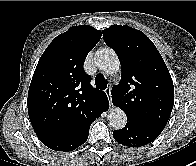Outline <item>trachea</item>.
I'll return each mask as SVG.
<instances>
[{"label":"trachea","instance_id":"trachea-1","mask_svg":"<svg viewBox=\"0 0 196 166\" xmlns=\"http://www.w3.org/2000/svg\"><path fill=\"white\" fill-rule=\"evenodd\" d=\"M95 84H96V87H97L98 89H102V90H103V89L107 88L108 82H107V80L104 78L103 75L98 74V75L95 77Z\"/></svg>","mask_w":196,"mask_h":166}]
</instances>
